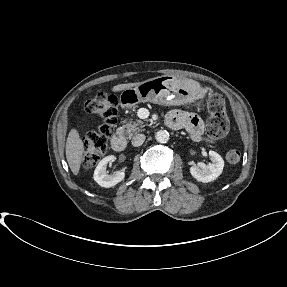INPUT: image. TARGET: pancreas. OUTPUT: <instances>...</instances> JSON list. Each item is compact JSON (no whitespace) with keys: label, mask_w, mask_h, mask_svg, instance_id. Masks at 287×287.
Instances as JSON below:
<instances>
[{"label":"pancreas","mask_w":287,"mask_h":287,"mask_svg":"<svg viewBox=\"0 0 287 287\" xmlns=\"http://www.w3.org/2000/svg\"><path fill=\"white\" fill-rule=\"evenodd\" d=\"M144 127V122L142 120L137 121H127L125 124L120 127V131L124 133L127 138H131L133 135L142 131Z\"/></svg>","instance_id":"1"}]
</instances>
